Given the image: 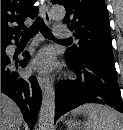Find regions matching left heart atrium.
<instances>
[{"label": "left heart atrium", "instance_id": "left-heart-atrium-1", "mask_svg": "<svg viewBox=\"0 0 123 130\" xmlns=\"http://www.w3.org/2000/svg\"><path fill=\"white\" fill-rule=\"evenodd\" d=\"M53 61V55L49 51L45 50L37 55L32 66L39 71H48L52 68Z\"/></svg>", "mask_w": 123, "mask_h": 130}]
</instances>
